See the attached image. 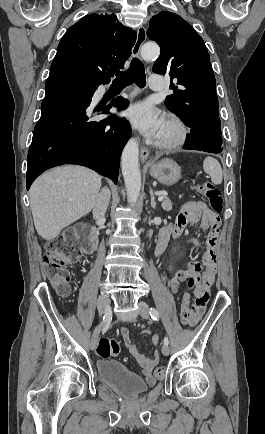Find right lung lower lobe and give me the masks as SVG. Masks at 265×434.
<instances>
[{"label": "right lung lower lobe", "instance_id": "right-lung-lower-lobe-1", "mask_svg": "<svg viewBox=\"0 0 265 434\" xmlns=\"http://www.w3.org/2000/svg\"><path fill=\"white\" fill-rule=\"evenodd\" d=\"M108 82L49 75L28 152L27 190L42 172L63 164L86 166L117 182L120 154L131 128L123 118L97 116L109 114L111 107L125 109L129 101L117 97L108 105L101 101L93 108L94 92Z\"/></svg>", "mask_w": 265, "mask_h": 434}]
</instances>
